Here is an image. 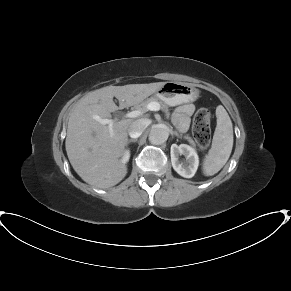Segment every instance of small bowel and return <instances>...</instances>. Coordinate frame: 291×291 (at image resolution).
<instances>
[{"instance_id":"obj_1","label":"small bowel","mask_w":291,"mask_h":291,"mask_svg":"<svg viewBox=\"0 0 291 291\" xmlns=\"http://www.w3.org/2000/svg\"><path fill=\"white\" fill-rule=\"evenodd\" d=\"M193 112L194 106L192 104H184L172 114V121L180 130H186L189 124V117Z\"/></svg>"}]
</instances>
